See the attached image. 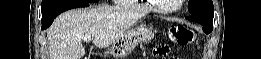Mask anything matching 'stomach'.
<instances>
[{"label":"stomach","mask_w":261,"mask_h":59,"mask_svg":"<svg viewBox=\"0 0 261 59\" xmlns=\"http://www.w3.org/2000/svg\"><path fill=\"white\" fill-rule=\"evenodd\" d=\"M153 32L148 27H137L129 30L126 34L120 37L110 48L108 54L104 58L112 56L115 59H120L129 55L138 44H146L153 38Z\"/></svg>","instance_id":"obj_1"}]
</instances>
